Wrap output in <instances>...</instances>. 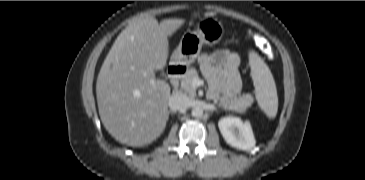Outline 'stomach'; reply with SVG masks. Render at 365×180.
I'll use <instances>...</instances> for the list:
<instances>
[{
    "instance_id": "1",
    "label": "stomach",
    "mask_w": 365,
    "mask_h": 180,
    "mask_svg": "<svg viewBox=\"0 0 365 180\" xmlns=\"http://www.w3.org/2000/svg\"><path fill=\"white\" fill-rule=\"evenodd\" d=\"M224 35L223 25L210 18H202L196 24L195 31L184 33L178 47L173 51L170 65L190 66L199 56L203 45L218 44Z\"/></svg>"
}]
</instances>
